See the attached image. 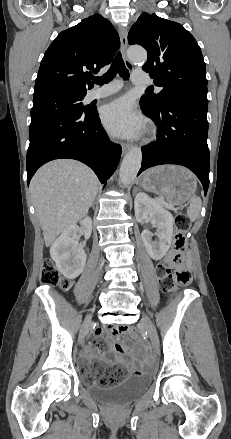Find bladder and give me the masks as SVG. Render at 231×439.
<instances>
[{"label":"bladder","instance_id":"obj_1","mask_svg":"<svg viewBox=\"0 0 231 439\" xmlns=\"http://www.w3.org/2000/svg\"><path fill=\"white\" fill-rule=\"evenodd\" d=\"M98 368V367H97ZM79 375L86 379L96 370L94 364H82L79 361L77 365ZM152 381V376L142 374L129 377L120 384L114 386L89 385L88 391L91 396L101 402L108 404L122 405L130 402L141 393H143Z\"/></svg>","mask_w":231,"mask_h":439}]
</instances>
